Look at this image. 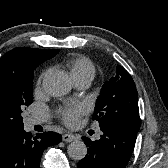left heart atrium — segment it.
Masks as SVG:
<instances>
[{
	"label": "left heart atrium",
	"instance_id": "1",
	"mask_svg": "<svg viewBox=\"0 0 168 168\" xmlns=\"http://www.w3.org/2000/svg\"><path fill=\"white\" fill-rule=\"evenodd\" d=\"M84 107L81 104H75L67 107L61 111V118L63 122L69 126L77 124L78 118L84 113Z\"/></svg>",
	"mask_w": 168,
	"mask_h": 168
}]
</instances>
